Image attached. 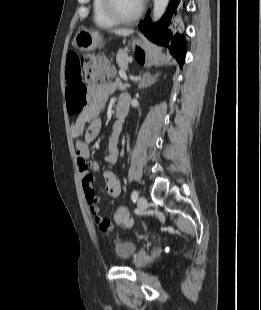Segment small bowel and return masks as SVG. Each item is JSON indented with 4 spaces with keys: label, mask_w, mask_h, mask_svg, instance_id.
I'll list each match as a JSON object with an SVG mask.
<instances>
[{
    "label": "small bowel",
    "mask_w": 261,
    "mask_h": 310,
    "mask_svg": "<svg viewBox=\"0 0 261 310\" xmlns=\"http://www.w3.org/2000/svg\"><path fill=\"white\" fill-rule=\"evenodd\" d=\"M66 102L68 111L74 116L71 124V134L74 138L83 137L76 142V157L78 171L81 177L85 197L90 204V211L95 222H109L112 230L113 224L101 216V208L97 205V198L93 189L94 177L92 171H99L104 164H114L118 158L119 136L123 122L116 121L111 130L107 143L106 156L102 161L92 160L89 145L96 139L100 132L101 122L99 113L110 95L116 88L115 83L104 82L87 86L81 76V65L76 54L70 53L66 65ZM89 96L91 103L87 107L85 98ZM106 192L112 197L121 193V182L116 174L106 169L102 172Z\"/></svg>",
    "instance_id": "obj_1"
}]
</instances>
